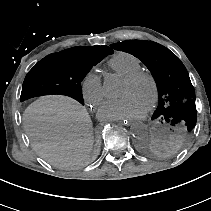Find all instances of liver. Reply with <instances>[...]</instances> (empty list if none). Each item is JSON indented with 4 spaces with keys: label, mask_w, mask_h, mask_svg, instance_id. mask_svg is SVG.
I'll return each mask as SVG.
<instances>
[{
    "label": "liver",
    "mask_w": 211,
    "mask_h": 211,
    "mask_svg": "<svg viewBox=\"0 0 211 211\" xmlns=\"http://www.w3.org/2000/svg\"><path fill=\"white\" fill-rule=\"evenodd\" d=\"M22 120L34 150L52 164L76 166L92 148L90 116L70 97H41L25 109Z\"/></svg>",
    "instance_id": "obj_1"
}]
</instances>
